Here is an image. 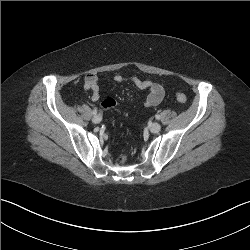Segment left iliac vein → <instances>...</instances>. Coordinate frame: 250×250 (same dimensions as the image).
Returning a JSON list of instances; mask_svg holds the SVG:
<instances>
[{"mask_svg": "<svg viewBox=\"0 0 250 250\" xmlns=\"http://www.w3.org/2000/svg\"><path fill=\"white\" fill-rule=\"evenodd\" d=\"M152 133H158L161 130V125L157 122H154L149 127Z\"/></svg>", "mask_w": 250, "mask_h": 250, "instance_id": "left-iliac-vein-1", "label": "left iliac vein"}]
</instances>
